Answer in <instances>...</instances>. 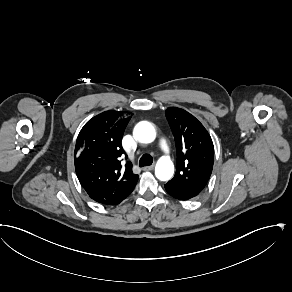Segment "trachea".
Listing matches in <instances>:
<instances>
[{
    "mask_svg": "<svg viewBox=\"0 0 292 292\" xmlns=\"http://www.w3.org/2000/svg\"><path fill=\"white\" fill-rule=\"evenodd\" d=\"M153 163V157L149 154H144L139 160V166L145 167Z\"/></svg>",
    "mask_w": 292,
    "mask_h": 292,
    "instance_id": "obj_1",
    "label": "trachea"
}]
</instances>
